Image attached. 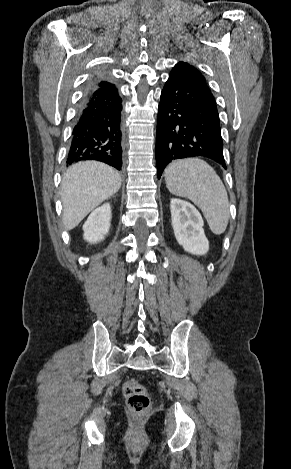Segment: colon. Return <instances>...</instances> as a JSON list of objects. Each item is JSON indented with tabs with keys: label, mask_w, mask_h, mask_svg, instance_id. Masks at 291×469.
Segmentation results:
<instances>
[{
	"label": "colon",
	"mask_w": 291,
	"mask_h": 469,
	"mask_svg": "<svg viewBox=\"0 0 291 469\" xmlns=\"http://www.w3.org/2000/svg\"><path fill=\"white\" fill-rule=\"evenodd\" d=\"M122 389L127 406L133 413L144 414L150 409L151 398L148 391L137 380H126Z\"/></svg>",
	"instance_id": "5ec220e1"
}]
</instances>
